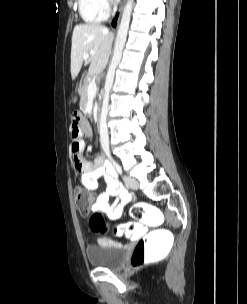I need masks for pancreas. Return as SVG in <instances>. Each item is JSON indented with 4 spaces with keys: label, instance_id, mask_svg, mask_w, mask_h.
I'll use <instances>...</instances> for the list:
<instances>
[{
    "label": "pancreas",
    "instance_id": "1",
    "mask_svg": "<svg viewBox=\"0 0 247 304\" xmlns=\"http://www.w3.org/2000/svg\"><path fill=\"white\" fill-rule=\"evenodd\" d=\"M90 82H91L90 80L86 79L85 83H83L82 89H79V90H78L79 95H80V97H81L80 106H81L83 109H84V108L86 107V105H87V101H88V92H87V90H88V85H89ZM96 99H97V97H96V95H95V96H94V99H93L95 105H97V104H96Z\"/></svg>",
    "mask_w": 247,
    "mask_h": 304
}]
</instances>
